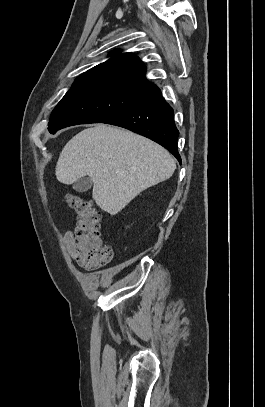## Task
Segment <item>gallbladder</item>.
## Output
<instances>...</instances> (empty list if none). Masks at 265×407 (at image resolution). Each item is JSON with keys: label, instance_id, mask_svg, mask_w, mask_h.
Listing matches in <instances>:
<instances>
[{"label": "gallbladder", "instance_id": "1", "mask_svg": "<svg viewBox=\"0 0 265 407\" xmlns=\"http://www.w3.org/2000/svg\"><path fill=\"white\" fill-rule=\"evenodd\" d=\"M92 184V180L89 177H83L74 183L73 188L75 191L82 193L88 191Z\"/></svg>", "mask_w": 265, "mask_h": 407}]
</instances>
